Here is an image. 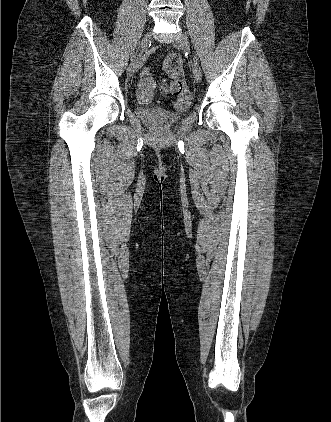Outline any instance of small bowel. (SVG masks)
Instances as JSON below:
<instances>
[{"instance_id": "c3829d8e", "label": "small bowel", "mask_w": 331, "mask_h": 422, "mask_svg": "<svg viewBox=\"0 0 331 422\" xmlns=\"http://www.w3.org/2000/svg\"><path fill=\"white\" fill-rule=\"evenodd\" d=\"M154 89V83L149 78L147 73H143L142 80L138 89V98L142 102H148L151 100Z\"/></svg>"}]
</instances>
